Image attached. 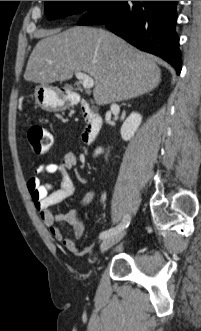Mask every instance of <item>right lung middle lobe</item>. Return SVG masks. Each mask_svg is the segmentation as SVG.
I'll use <instances>...</instances> for the list:
<instances>
[{
	"mask_svg": "<svg viewBox=\"0 0 201 331\" xmlns=\"http://www.w3.org/2000/svg\"><path fill=\"white\" fill-rule=\"evenodd\" d=\"M100 1H45V15L48 19L83 13Z\"/></svg>",
	"mask_w": 201,
	"mask_h": 331,
	"instance_id": "right-lung-middle-lobe-1",
	"label": "right lung middle lobe"
}]
</instances>
